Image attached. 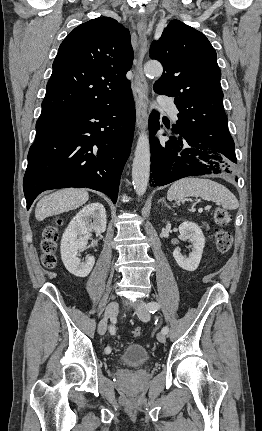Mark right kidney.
Wrapping results in <instances>:
<instances>
[{
	"instance_id": "1",
	"label": "right kidney",
	"mask_w": 262,
	"mask_h": 431,
	"mask_svg": "<svg viewBox=\"0 0 262 431\" xmlns=\"http://www.w3.org/2000/svg\"><path fill=\"white\" fill-rule=\"evenodd\" d=\"M106 211L102 204L91 203L84 206L71 220L61 240V258L66 269L75 276L86 277L91 272L95 258L84 262L77 255L88 243L89 230L103 233L106 230Z\"/></svg>"
}]
</instances>
